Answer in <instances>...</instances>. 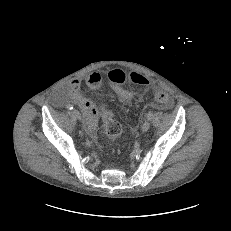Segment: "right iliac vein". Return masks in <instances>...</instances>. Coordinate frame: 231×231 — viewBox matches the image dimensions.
<instances>
[{"instance_id": "1", "label": "right iliac vein", "mask_w": 231, "mask_h": 231, "mask_svg": "<svg viewBox=\"0 0 231 231\" xmlns=\"http://www.w3.org/2000/svg\"><path fill=\"white\" fill-rule=\"evenodd\" d=\"M73 114L76 116L77 119L82 120V114L80 113V111L74 109Z\"/></svg>"}]
</instances>
